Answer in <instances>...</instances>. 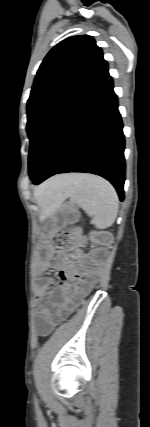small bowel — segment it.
<instances>
[{"label":"small bowel","instance_id":"obj_1","mask_svg":"<svg viewBox=\"0 0 150 427\" xmlns=\"http://www.w3.org/2000/svg\"><path fill=\"white\" fill-rule=\"evenodd\" d=\"M66 260L60 254H51L40 256L36 263V271L41 274L46 271L48 268H61L66 265ZM53 283V280L47 276H40L38 278L37 294L36 298L38 302H42L45 299L50 300L53 296V292L50 291L49 287ZM87 292V287L80 289V294ZM78 300H73L68 303L62 304L59 309L55 312L52 311V306L50 303L44 305L38 317V331L42 336L48 335L53 327L63 320L67 315H69L74 307L76 306Z\"/></svg>","mask_w":150,"mask_h":427}]
</instances>
